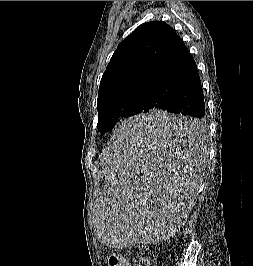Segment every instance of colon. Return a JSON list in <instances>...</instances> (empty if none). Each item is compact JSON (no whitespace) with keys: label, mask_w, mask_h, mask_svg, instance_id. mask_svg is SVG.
I'll list each match as a JSON object with an SVG mask.
<instances>
[{"label":"colon","mask_w":253,"mask_h":266,"mask_svg":"<svg viewBox=\"0 0 253 266\" xmlns=\"http://www.w3.org/2000/svg\"><path fill=\"white\" fill-rule=\"evenodd\" d=\"M109 266H128V262L126 258L118 252H115L110 255L108 260ZM152 260L151 259H145L144 264L142 266H151Z\"/></svg>","instance_id":"5ec220e1"}]
</instances>
